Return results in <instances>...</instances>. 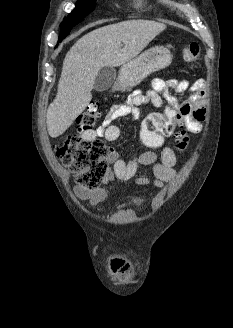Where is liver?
Instances as JSON below:
<instances>
[{
  "label": "liver",
  "mask_w": 233,
  "mask_h": 328,
  "mask_svg": "<svg viewBox=\"0 0 233 328\" xmlns=\"http://www.w3.org/2000/svg\"><path fill=\"white\" fill-rule=\"evenodd\" d=\"M166 25L154 21L128 20L107 25L81 37L63 61L57 95L46 114L49 135H62L89 105L99 71L121 66L135 57Z\"/></svg>",
  "instance_id": "obj_1"
}]
</instances>
